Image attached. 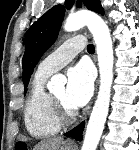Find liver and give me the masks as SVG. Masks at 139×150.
Listing matches in <instances>:
<instances>
[{
	"label": "liver",
	"mask_w": 139,
	"mask_h": 150,
	"mask_svg": "<svg viewBox=\"0 0 139 150\" xmlns=\"http://www.w3.org/2000/svg\"><path fill=\"white\" fill-rule=\"evenodd\" d=\"M61 137L47 138L36 144L33 150H59Z\"/></svg>",
	"instance_id": "obj_1"
}]
</instances>
